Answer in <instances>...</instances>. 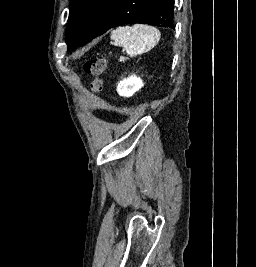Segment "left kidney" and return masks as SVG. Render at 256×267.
I'll return each mask as SVG.
<instances>
[{"mask_svg": "<svg viewBox=\"0 0 256 267\" xmlns=\"http://www.w3.org/2000/svg\"><path fill=\"white\" fill-rule=\"evenodd\" d=\"M143 82L141 78H137L136 74L129 76V78H124L121 80L117 86V92L119 96H125V98H130L135 92H138L142 88Z\"/></svg>", "mask_w": 256, "mask_h": 267, "instance_id": "left-kidney-1", "label": "left kidney"}]
</instances>
